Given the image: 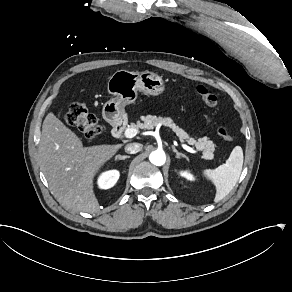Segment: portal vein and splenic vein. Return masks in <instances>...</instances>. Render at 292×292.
<instances>
[{"instance_id": "obj_1", "label": "portal vein and splenic vein", "mask_w": 292, "mask_h": 292, "mask_svg": "<svg viewBox=\"0 0 292 292\" xmlns=\"http://www.w3.org/2000/svg\"><path fill=\"white\" fill-rule=\"evenodd\" d=\"M137 133H138V130L136 128H127L125 130L124 135L126 138H133L137 135ZM183 148L188 152H193V153L195 152L191 147H189L185 144L183 145ZM208 159H212V158H208Z\"/></svg>"}]
</instances>
